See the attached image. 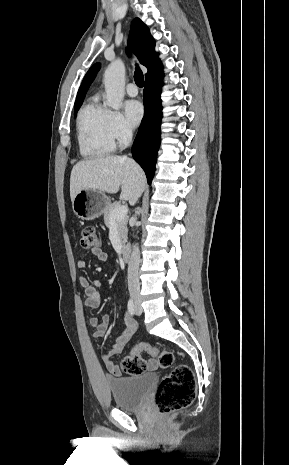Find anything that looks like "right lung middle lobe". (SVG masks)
<instances>
[{
  "mask_svg": "<svg viewBox=\"0 0 289 465\" xmlns=\"http://www.w3.org/2000/svg\"><path fill=\"white\" fill-rule=\"evenodd\" d=\"M82 102H83V101H78V102L75 103V105H74V110H75V112L78 111V109L80 108Z\"/></svg>",
  "mask_w": 289,
  "mask_h": 465,
  "instance_id": "1",
  "label": "right lung middle lobe"
}]
</instances>
